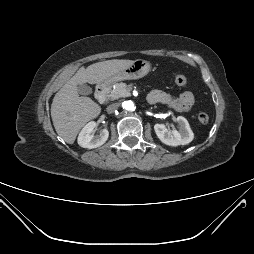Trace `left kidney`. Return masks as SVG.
Instances as JSON below:
<instances>
[{
	"mask_svg": "<svg viewBox=\"0 0 254 254\" xmlns=\"http://www.w3.org/2000/svg\"><path fill=\"white\" fill-rule=\"evenodd\" d=\"M179 125V131L169 130L164 124H155L154 130L160 141L169 146H179L189 144L194 134L186 118L178 116L176 119Z\"/></svg>",
	"mask_w": 254,
	"mask_h": 254,
	"instance_id": "obj_1",
	"label": "left kidney"
}]
</instances>
